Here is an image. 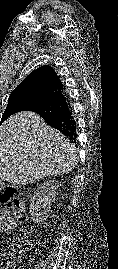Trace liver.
Instances as JSON below:
<instances>
[{
    "mask_svg": "<svg viewBox=\"0 0 118 269\" xmlns=\"http://www.w3.org/2000/svg\"><path fill=\"white\" fill-rule=\"evenodd\" d=\"M76 163L75 146L34 112L17 113L0 126V180L26 185L68 173Z\"/></svg>",
    "mask_w": 118,
    "mask_h": 269,
    "instance_id": "6515ba94",
    "label": "liver"
}]
</instances>
